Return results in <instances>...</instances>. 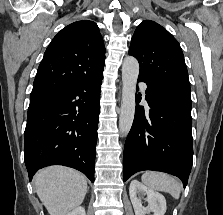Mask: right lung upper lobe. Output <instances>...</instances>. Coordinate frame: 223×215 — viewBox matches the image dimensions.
Returning a JSON list of instances; mask_svg holds the SVG:
<instances>
[{
	"label": "right lung upper lobe",
	"mask_w": 223,
	"mask_h": 215,
	"mask_svg": "<svg viewBox=\"0 0 223 215\" xmlns=\"http://www.w3.org/2000/svg\"><path fill=\"white\" fill-rule=\"evenodd\" d=\"M105 46L95 22L81 20L62 29L47 47L30 96H52L103 71Z\"/></svg>",
	"instance_id": "1"
}]
</instances>
